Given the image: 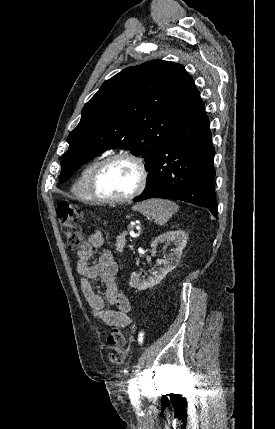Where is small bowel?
Returning <instances> with one entry per match:
<instances>
[{
	"label": "small bowel",
	"mask_w": 275,
	"mask_h": 429,
	"mask_svg": "<svg viewBox=\"0 0 275 429\" xmlns=\"http://www.w3.org/2000/svg\"><path fill=\"white\" fill-rule=\"evenodd\" d=\"M103 243V234L95 231L79 248L77 271L81 275L80 286L97 320L106 326L127 327L131 323V303L117 287L115 276L118 268L112 253L104 250L96 264H89ZM97 278L105 285L104 297L97 294L92 285V281ZM110 305H114L116 309L108 308Z\"/></svg>",
	"instance_id": "small-bowel-1"
}]
</instances>
